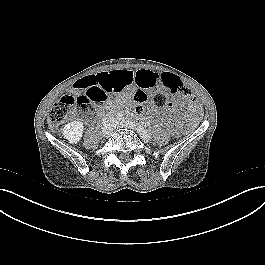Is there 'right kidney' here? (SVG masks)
<instances>
[{
    "instance_id": "1",
    "label": "right kidney",
    "mask_w": 265,
    "mask_h": 265,
    "mask_svg": "<svg viewBox=\"0 0 265 265\" xmlns=\"http://www.w3.org/2000/svg\"><path fill=\"white\" fill-rule=\"evenodd\" d=\"M83 123L79 121H73L66 124L63 128V135L71 144L78 143L83 135Z\"/></svg>"
}]
</instances>
